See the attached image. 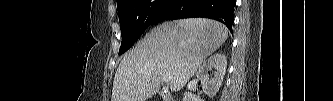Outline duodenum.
Here are the masks:
<instances>
[{
	"mask_svg": "<svg viewBox=\"0 0 333 101\" xmlns=\"http://www.w3.org/2000/svg\"><path fill=\"white\" fill-rule=\"evenodd\" d=\"M161 96L163 101H173L172 97L167 92L163 93Z\"/></svg>",
	"mask_w": 333,
	"mask_h": 101,
	"instance_id": "duodenum-1",
	"label": "duodenum"
}]
</instances>
